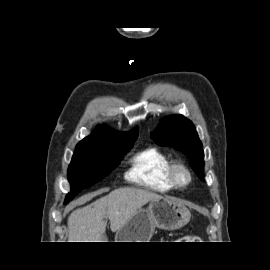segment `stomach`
Instances as JSON below:
<instances>
[{
  "mask_svg": "<svg viewBox=\"0 0 270 270\" xmlns=\"http://www.w3.org/2000/svg\"><path fill=\"white\" fill-rule=\"evenodd\" d=\"M191 218L190 210L181 202L162 197L152 200L147 208L136 214L115 235V242H149L156 227L177 230Z\"/></svg>",
  "mask_w": 270,
  "mask_h": 270,
  "instance_id": "0dacf381",
  "label": "stomach"
}]
</instances>
